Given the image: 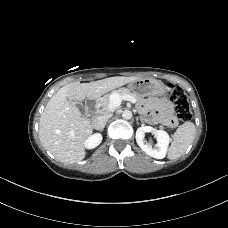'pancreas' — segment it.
<instances>
[{"label": "pancreas", "instance_id": "1", "mask_svg": "<svg viewBox=\"0 0 228 228\" xmlns=\"http://www.w3.org/2000/svg\"><path fill=\"white\" fill-rule=\"evenodd\" d=\"M114 94H119L121 96L125 95V94L131 95L132 97H134L136 99L137 102H140L142 100V97L139 94H137L136 92H133L127 88H120L118 90L112 91L110 94H107V95L103 96L102 98H99L98 104L102 108L106 109L110 103L111 96ZM160 128H163V126H160Z\"/></svg>", "mask_w": 228, "mask_h": 228}]
</instances>
